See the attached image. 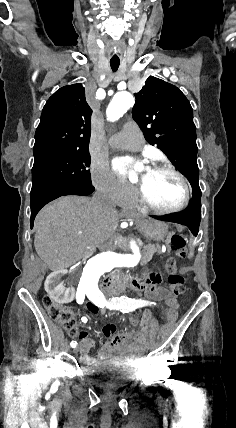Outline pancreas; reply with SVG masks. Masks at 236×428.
Here are the masks:
<instances>
[{
	"label": "pancreas",
	"mask_w": 236,
	"mask_h": 428,
	"mask_svg": "<svg viewBox=\"0 0 236 428\" xmlns=\"http://www.w3.org/2000/svg\"><path fill=\"white\" fill-rule=\"evenodd\" d=\"M144 250H142V258H141V264L144 266V264H147V262H150L152 260L154 254H161V246H154V244H148V246H143Z\"/></svg>",
	"instance_id": "pancreas-1"
}]
</instances>
